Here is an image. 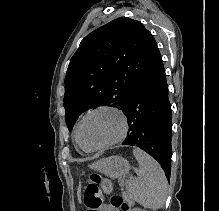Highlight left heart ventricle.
<instances>
[{
  "instance_id": "b2bd125f",
  "label": "left heart ventricle",
  "mask_w": 219,
  "mask_h": 211,
  "mask_svg": "<svg viewBox=\"0 0 219 211\" xmlns=\"http://www.w3.org/2000/svg\"><path fill=\"white\" fill-rule=\"evenodd\" d=\"M120 129L121 120L118 115L110 111H99L84 121L81 139L86 147H96L116 137Z\"/></svg>"
}]
</instances>
